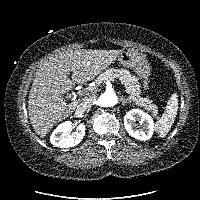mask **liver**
<instances>
[{
    "label": "liver",
    "instance_id": "6515ba94",
    "mask_svg": "<svg viewBox=\"0 0 200 200\" xmlns=\"http://www.w3.org/2000/svg\"><path fill=\"white\" fill-rule=\"evenodd\" d=\"M122 50L79 49L50 57L36 71L29 93L28 113L40 137L71 115L82 99L66 104L63 94L73 86L93 80L111 65ZM72 72V79L67 75Z\"/></svg>",
    "mask_w": 200,
    "mask_h": 200
}]
</instances>
